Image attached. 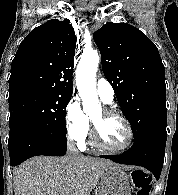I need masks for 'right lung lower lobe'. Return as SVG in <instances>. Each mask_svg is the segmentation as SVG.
Listing matches in <instances>:
<instances>
[{
  "instance_id": "obj_1",
  "label": "right lung lower lobe",
  "mask_w": 178,
  "mask_h": 195,
  "mask_svg": "<svg viewBox=\"0 0 178 195\" xmlns=\"http://www.w3.org/2000/svg\"><path fill=\"white\" fill-rule=\"evenodd\" d=\"M10 165L16 166L37 155L62 156L66 153V133L58 126L13 127L9 132Z\"/></svg>"
}]
</instances>
